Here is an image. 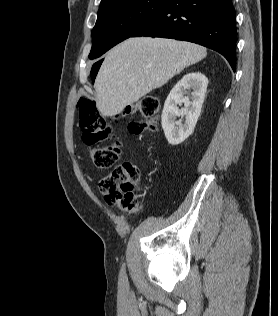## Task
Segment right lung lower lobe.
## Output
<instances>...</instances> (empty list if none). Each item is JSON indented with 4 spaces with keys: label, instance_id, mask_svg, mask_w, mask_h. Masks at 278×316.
Returning <instances> with one entry per match:
<instances>
[{
    "label": "right lung lower lobe",
    "instance_id": "98d812e1",
    "mask_svg": "<svg viewBox=\"0 0 278 316\" xmlns=\"http://www.w3.org/2000/svg\"><path fill=\"white\" fill-rule=\"evenodd\" d=\"M136 36L203 45L222 54L235 71L237 33L231 0H166L156 15L132 35Z\"/></svg>",
    "mask_w": 278,
    "mask_h": 316
}]
</instances>
